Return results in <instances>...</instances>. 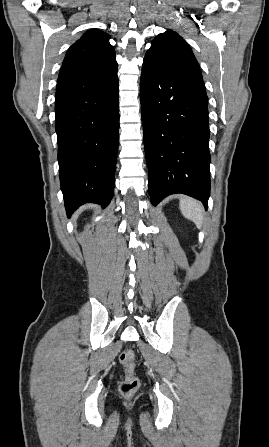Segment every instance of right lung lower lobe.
Listing matches in <instances>:
<instances>
[{
	"label": "right lung lower lobe",
	"mask_w": 269,
	"mask_h": 447,
	"mask_svg": "<svg viewBox=\"0 0 269 447\" xmlns=\"http://www.w3.org/2000/svg\"><path fill=\"white\" fill-rule=\"evenodd\" d=\"M61 190L67 214L93 202L104 208L114 191L119 137L117 66L59 81L55 100Z\"/></svg>",
	"instance_id": "obj_1"
}]
</instances>
